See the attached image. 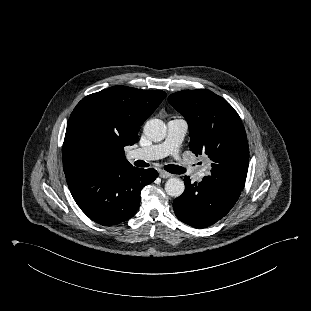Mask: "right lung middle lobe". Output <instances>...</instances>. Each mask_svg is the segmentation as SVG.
Listing matches in <instances>:
<instances>
[{"instance_id": "right-lung-middle-lobe-1", "label": "right lung middle lobe", "mask_w": 311, "mask_h": 311, "mask_svg": "<svg viewBox=\"0 0 311 311\" xmlns=\"http://www.w3.org/2000/svg\"><path fill=\"white\" fill-rule=\"evenodd\" d=\"M100 143L86 125H79L74 133L70 153L71 166L77 170H84L101 163Z\"/></svg>"}]
</instances>
